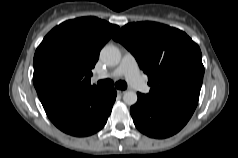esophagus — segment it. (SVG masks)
I'll return each mask as SVG.
<instances>
[{"instance_id": "obj_1", "label": "esophagus", "mask_w": 238, "mask_h": 158, "mask_svg": "<svg viewBox=\"0 0 238 158\" xmlns=\"http://www.w3.org/2000/svg\"><path fill=\"white\" fill-rule=\"evenodd\" d=\"M125 92H126L125 90H117V93H118L119 95H123Z\"/></svg>"}]
</instances>
